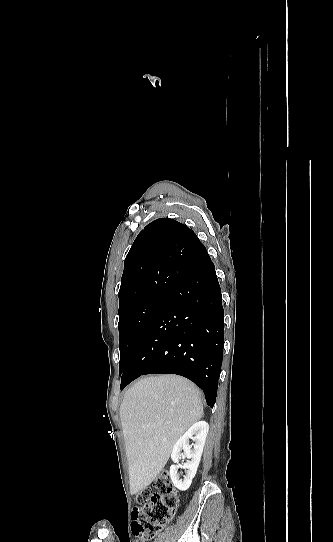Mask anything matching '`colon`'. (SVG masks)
Segmentation results:
<instances>
[{
    "label": "colon",
    "instance_id": "1",
    "mask_svg": "<svg viewBox=\"0 0 333 542\" xmlns=\"http://www.w3.org/2000/svg\"><path fill=\"white\" fill-rule=\"evenodd\" d=\"M154 484L159 493L152 494L148 489H144L135 499L133 533L138 540L154 538L175 515L178 508V494L170 472L159 473Z\"/></svg>",
    "mask_w": 333,
    "mask_h": 542
}]
</instances>
